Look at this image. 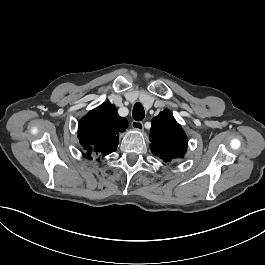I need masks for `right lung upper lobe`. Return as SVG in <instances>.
<instances>
[{
	"instance_id": "1",
	"label": "right lung upper lobe",
	"mask_w": 265,
	"mask_h": 265,
	"mask_svg": "<svg viewBox=\"0 0 265 265\" xmlns=\"http://www.w3.org/2000/svg\"><path fill=\"white\" fill-rule=\"evenodd\" d=\"M128 128L127 119L120 117L117 109L105 102L84 116L78 126V139L83 156L98 161L117 149L119 134Z\"/></svg>"
}]
</instances>
